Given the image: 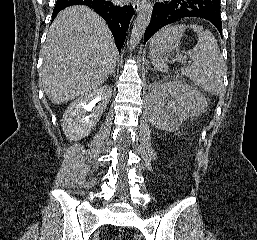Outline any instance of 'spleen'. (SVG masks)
<instances>
[{
    "mask_svg": "<svg viewBox=\"0 0 257 240\" xmlns=\"http://www.w3.org/2000/svg\"><path fill=\"white\" fill-rule=\"evenodd\" d=\"M192 29L197 33L196 46L186 52L193 63L181 69V73L191 79L195 85L213 95L220 94L223 89V76L226 71L225 62L220 56L217 41L209 30H203L199 25H176L165 27L154 35L150 44L152 64L156 70L167 72V57H160L163 52L170 53L179 50L181 36L185 29Z\"/></svg>",
    "mask_w": 257,
    "mask_h": 240,
    "instance_id": "spleen-1",
    "label": "spleen"
}]
</instances>
